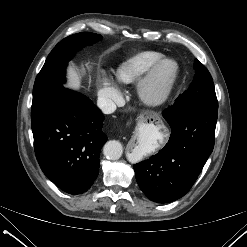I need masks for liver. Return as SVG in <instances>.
<instances>
[{"mask_svg":"<svg viewBox=\"0 0 247 247\" xmlns=\"http://www.w3.org/2000/svg\"><path fill=\"white\" fill-rule=\"evenodd\" d=\"M67 78H68V83L66 87L74 90H78L81 87V77L74 68L69 67Z\"/></svg>","mask_w":247,"mask_h":247,"instance_id":"1","label":"liver"}]
</instances>
